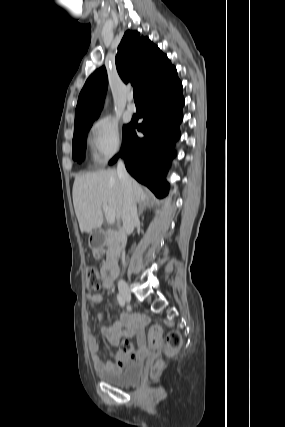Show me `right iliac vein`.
Wrapping results in <instances>:
<instances>
[{
  "mask_svg": "<svg viewBox=\"0 0 285 427\" xmlns=\"http://www.w3.org/2000/svg\"><path fill=\"white\" fill-rule=\"evenodd\" d=\"M118 287H119L120 295L122 296L124 301L129 302L131 300V294H130L128 284L125 281L121 280L119 281Z\"/></svg>",
  "mask_w": 285,
  "mask_h": 427,
  "instance_id": "obj_1",
  "label": "right iliac vein"
}]
</instances>
